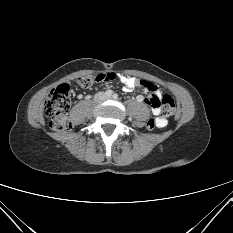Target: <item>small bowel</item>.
<instances>
[{"label":"small bowel","instance_id":"c3829d8e","mask_svg":"<svg viewBox=\"0 0 233 233\" xmlns=\"http://www.w3.org/2000/svg\"><path fill=\"white\" fill-rule=\"evenodd\" d=\"M96 80L97 81H101V82H106V81H112V82H122L124 84V91L126 92H129L131 90H133L134 88L136 87H141L143 89V91L145 93H152V95L145 99L142 95H138L137 96V101L138 102H145L147 105H150L152 107V112L153 114L155 115V121H156V127L158 128H163L167 125V119L162 115L161 113V110L159 107H154L150 104V98L155 95L156 97L160 98L161 97V92L156 89L154 92H150L148 91L146 88H144L142 85H141V82L144 81L142 79H137V78H134V77H128V76H123L122 74L120 73H99L96 75ZM74 84H78L76 81L73 82ZM72 82L70 83L71 85L73 84Z\"/></svg>","mask_w":233,"mask_h":233}]
</instances>
